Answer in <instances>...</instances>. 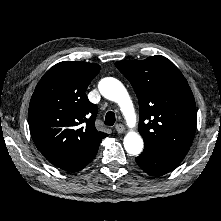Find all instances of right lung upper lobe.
<instances>
[{
  "mask_svg": "<svg viewBox=\"0 0 221 221\" xmlns=\"http://www.w3.org/2000/svg\"><path fill=\"white\" fill-rule=\"evenodd\" d=\"M99 71L98 64L60 62L35 88L28 115L31 136L44 157L57 167L88 155L108 136L95 128L97 107L85 93Z\"/></svg>",
  "mask_w": 221,
  "mask_h": 221,
  "instance_id": "obj_1",
  "label": "right lung upper lobe"
}]
</instances>
